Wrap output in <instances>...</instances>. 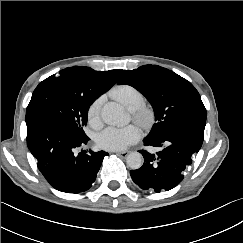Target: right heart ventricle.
<instances>
[{"instance_id": "1", "label": "right heart ventricle", "mask_w": 243, "mask_h": 243, "mask_svg": "<svg viewBox=\"0 0 243 243\" xmlns=\"http://www.w3.org/2000/svg\"><path fill=\"white\" fill-rule=\"evenodd\" d=\"M110 95L130 110L145 102L143 93L129 84L116 85L111 89Z\"/></svg>"}]
</instances>
